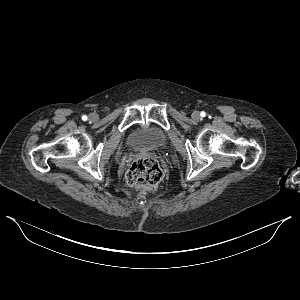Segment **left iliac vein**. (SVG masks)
I'll return each mask as SVG.
<instances>
[{"label": "left iliac vein", "mask_w": 300, "mask_h": 300, "mask_svg": "<svg viewBox=\"0 0 300 300\" xmlns=\"http://www.w3.org/2000/svg\"><path fill=\"white\" fill-rule=\"evenodd\" d=\"M192 119L195 120V121H198L200 119V114L198 111H194L192 113Z\"/></svg>", "instance_id": "1"}]
</instances>
